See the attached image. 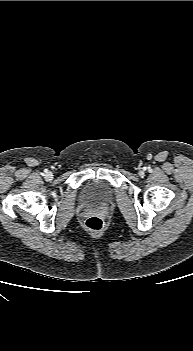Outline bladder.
I'll use <instances>...</instances> for the list:
<instances>
[{"label":"bladder","mask_w":193,"mask_h":351,"mask_svg":"<svg viewBox=\"0 0 193 351\" xmlns=\"http://www.w3.org/2000/svg\"><path fill=\"white\" fill-rule=\"evenodd\" d=\"M112 196L110 186L100 180H90L86 182L81 191V199L86 203L105 202Z\"/></svg>","instance_id":"31cf9c89"}]
</instances>
